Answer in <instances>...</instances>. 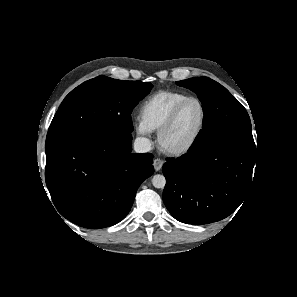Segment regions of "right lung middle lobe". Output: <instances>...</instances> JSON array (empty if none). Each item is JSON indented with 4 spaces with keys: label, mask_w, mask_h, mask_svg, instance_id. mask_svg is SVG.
<instances>
[{
    "label": "right lung middle lobe",
    "mask_w": 297,
    "mask_h": 297,
    "mask_svg": "<svg viewBox=\"0 0 297 297\" xmlns=\"http://www.w3.org/2000/svg\"><path fill=\"white\" fill-rule=\"evenodd\" d=\"M152 84L117 80L103 75L72 90L49 127L46 155L75 141L101 134L131 133V112Z\"/></svg>",
    "instance_id": "dd1d6c3e"
}]
</instances>
